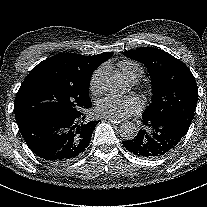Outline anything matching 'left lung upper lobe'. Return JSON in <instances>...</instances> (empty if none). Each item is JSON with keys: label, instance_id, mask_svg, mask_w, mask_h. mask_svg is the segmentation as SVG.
Segmentation results:
<instances>
[{"label": "left lung upper lobe", "instance_id": "5c2ea615", "mask_svg": "<svg viewBox=\"0 0 207 207\" xmlns=\"http://www.w3.org/2000/svg\"><path fill=\"white\" fill-rule=\"evenodd\" d=\"M123 54L145 64L150 73L153 102L143 117H169L189 128L198 99L197 84L190 69L157 48H141Z\"/></svg>", "mask_w": 207, "mask_h": 207}]
</instances>
